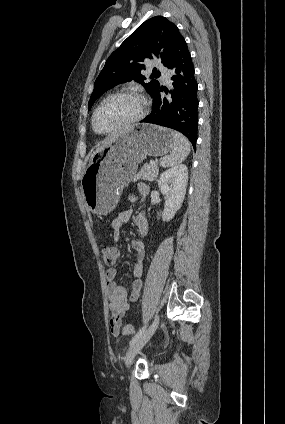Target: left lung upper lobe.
Masks as SVG:
<instances>
[{"label":"left lung upper lobe","instance_id":"obj_1","mask_svg":"<svg viewBox=\"0 0 285 424\" xmlns=\"http://www.w3.org/2000/svg\"><path fill=\"white\" fill-rule=\"evenodd\" d=\"M180 37L176 25L165 17L156 16L142 23L107 59L94 83L88 110L104 92L132 80L142 84L151 95L159 87V82H146V77L141 74L145 69L142 62L147 58L160 59L166 66ZM159 76L160 72L154 69L150 78Z\"/></svg>","mask_w":285,"mask_h":424}]
</instances>
